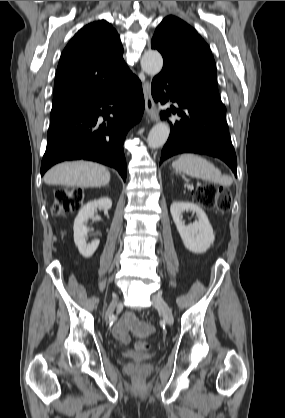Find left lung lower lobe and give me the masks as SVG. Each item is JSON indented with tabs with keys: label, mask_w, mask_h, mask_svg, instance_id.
Listing matches in <instances>:
<instances>
[{
	"label": "left lung lower lobe",
	"mask_w": 285,
	"mask_h": 418,
	"mask_svg": "<svg viewBox=\"0 0 285 418\" xmlns=\"http://www.w3.org/2000/svg\"><path fill=\"white\" fill-rule=\"evenodd\" d=\"M166 90V92H165ZM156 102H177L180 109L161 112L163 117L177 113L183 119L170 123L171 133L160 163L181 153L207 154L223 160L237 175V159L226 123V107L219 97L193 86L170 68H163L151 85Z\"/></svg>",
	"instance_id": "1"
}]
</instances>
